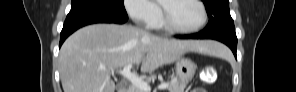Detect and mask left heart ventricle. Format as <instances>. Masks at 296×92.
<instances>
[{
  "label": "left heart ventricle",
  "mask_w": 296,
  "mask_h": 92,
  "mask_svg": "<svg viewBox=\"0 0 296 92\" xmlns=\"http://www.w3.org/2000/svg\"><path fill=\"white\" fill-rule=\"evenodd\" d=\"M168 13L171 21L182 29L196 27L202 19L200 7L191 0H180L168 5Z\"/></svg>",
  "instance_id": "1"
}]
</instances>
